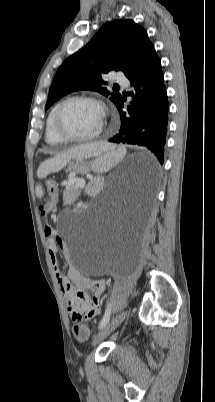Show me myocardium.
<instances>
[{
    "instance_id": "myocardium-1",
    "label": "myocardium",
    "mask_w": 215,
    "mask_h": 402,
    "mask_svg": "<svg viewBox=\"0 0 215 402\" xmlns=\"http://www.w3.org/2000/svg\"><path fill=\"white\" fill-rule=\"evenodd\" d=\"M74 101L91 102V103L96 104L101 109L102 114H103V123L96 132L89 134V135L77 136V135L70 134L63 129L61 122H60L61 112L68 103L74 102ZM107 118H108V109H107L105 103L101 99L94 97V96H90V95H74V96L65 98L64 100H62L61 102H59L57 104L55 111H54V116H53V127H54V130L57 133V135L59 137H61L62 139H64L65 141L88 142V141H93V140L99 138L103 134Z\"/></svg>"
}]
</instances>
